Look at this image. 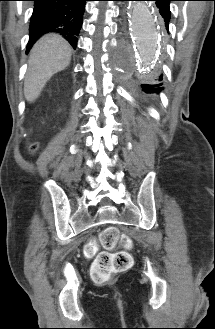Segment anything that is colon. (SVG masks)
Masks as SVG:
<instances>
[{"mask_svg": "<svg viewBox=\"0 0 215 329\" xmlns=\"http://www.w3.org/2000/svg\"><path fill=\"white\" fill-rule=\"evenodd\" d=\"M37 149L36 143L29 145L31 152ZM100 244L107 250L115 248L119 241H122L126 248L130 247V240L120 237L116 227L109 226L104 229L99 237ZM96 243L92 242L85 248V253L92 255L95 252ZM133 259L129 252L120 251L116 253L102 252L92 264L90 274L93 281L102 283L111 278L115 273L127 270L132 265Z\"/></svg>", "mask_w": 215, "mask_h": 329, "instance_id": "1", "label": "colon"}]
</instances>
